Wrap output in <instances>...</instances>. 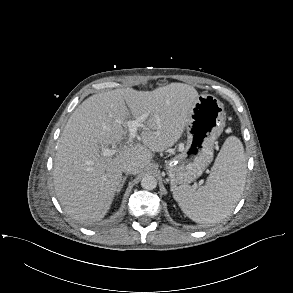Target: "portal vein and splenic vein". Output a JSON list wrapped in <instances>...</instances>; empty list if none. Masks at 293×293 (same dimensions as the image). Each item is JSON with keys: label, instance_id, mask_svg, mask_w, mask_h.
<instances>
[{"label": "portal vein and splenic vein", "instance_id": "portal-vein-and-splenic-vein-1", "mask_svg": "<svg viewBox=\"0 0 293 293\" xmlns=\"http://www.w3.org/2000/svg\"><path fill=\"white\" fill-rule=\"evenodd\" d=\"M148 117V114H144L137 118L136 120H130L126 122V125L128 126L129 130V138L128 142L132 143L134 138L137 136V129L139 127H144L143 121L146 120ZM116 153L115 149H103L101 154L105 157L113 156Z\"/></svg>", "mask_w": 293, "mask_h": 293}]
</instances>
